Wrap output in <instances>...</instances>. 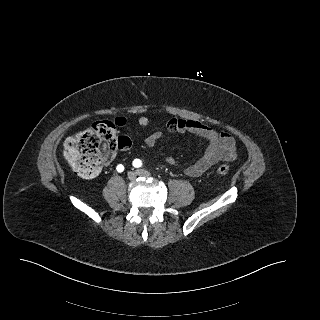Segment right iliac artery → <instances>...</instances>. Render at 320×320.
<instances>
[{
	"mask_svg": "<svg viewBox=\"0 0 320 320\" xmlns=\"http://www.w3.org/2000/svg\"><path fill=\"white\" fill-rule=\"evenodd\" d=\"M116 169L118 172H123L124 166L122 164H119V165H117Z\"/></svg>",
	"mask_w": 320,
	"mask_h": 320,
	"instance_id": "obj_1",
	"label": "right iliac artery"
}]
</instances>
